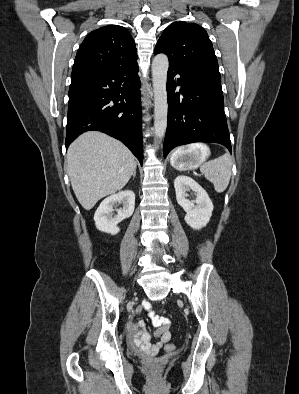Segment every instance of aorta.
I'll return each mask as SVG.
<instances>
[{
  "instance_id": "obj_1",
  "label": "aorta",
  "mask_w": 299,
  "mask_h": 394,
  "mask_svg": "<svg viewBox=\"0 0 299 394\" xmlns=\"http://www.w3.org/2000/svg\"><path fill=\"white\" fill-rule=\"evenodd\" d=\"M169 67L168 57L158 54L152 62V77L154 91V133L156 138H162L167 127V71Z\"/></svg>"
}]
</instances>
